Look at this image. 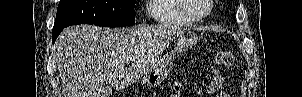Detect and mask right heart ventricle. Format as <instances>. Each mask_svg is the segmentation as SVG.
Returning a JSON list of instances; mask_svg holds the SVG:
<instances>
[{"label": "right heart ventricle", "mask_w": 302, "mask_h": 97, "mask_svg": "<svg viewBox=\"0 0 302 97\" xmlns=\"http://www.w3.org/2000/svg\"><path fill=\"white\" fill-rule=\"evenodd\" d=\"M148 12L159 25L188 27L195 23L181 12L178 0H150Z\"/></svg>", "instance_id": "right-heart-ventricle-1"}]
</instances>
